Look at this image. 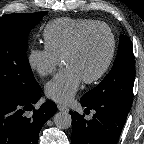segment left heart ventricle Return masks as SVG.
I'll list each match as a JSON object with an SVG mask.
<instances>
[{
    "label": "left heart ventricle",
    "instance_id": "b2bd125f",
    "mask_svg": "<svg viewBox=\"0 0 144 144\" xmlns=\"http://www.w3.org/2000/svg\"><path fill=\"white\" fill-rule=\"evenodd\" d=\"M109 51V34L104 29H96L85 36L79 48L64 63L74 67L83 79H87L102 68Z\"/></svg>",
    "mask_w": 144,
    "mask_h": 144
}]
</instances>
